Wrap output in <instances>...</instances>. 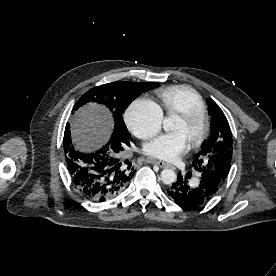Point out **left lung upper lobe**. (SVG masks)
<instances>
[{"label":"left lung upper lobe","instance_id":"5c2ea615","mask_svg":"<svg viewBox=\"0 0 276 276\" xmlns=\"http://www.w3.org/2000/svg\"><path fill=\"white\" fill-rule=\"evenodd\" d=\"M207 103L212 117L211 133L209 139L202 144L199 157L192 165L198 173L206 172L218 178L221 187L230 171L233 153L232 133L220 107L209 98Z\"/></svg>","mask_w":276,"mask_h":276}]
</instances>
